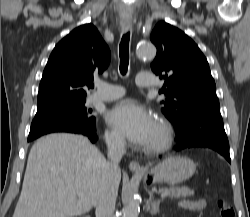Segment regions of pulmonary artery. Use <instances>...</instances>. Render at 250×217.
Returning a JSON list of instances; mask_svg holds the SVG:
<instances>
[{
  "label": "pulmonary artery",
  "instance_id": "e3ab8cb5",
  "mask_svg": "<svg viewBox=\"0 0 250 217\" xmlns=\"http://www.w3.org/2000/svg\"><path fill=\"white\" fill-rule=\"evenodd\" d=\"M138 87L149 88L156 85V81L150 73H139L136 78ZM125 94L124 89L119 85H113L106 82H97L96 91L89 97L92 101H112L122 97Z\"/></svg>",
  "mask_w": 250,
  "mask_h": 217
}]
</instances>
